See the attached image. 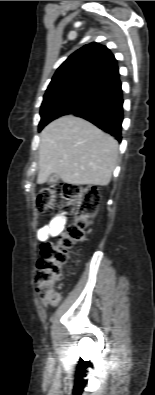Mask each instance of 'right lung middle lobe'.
Returning a JSON list of instances; mask_svg holds the SVG:
<instances>
[{"label": "right lung middle lobe", "mask_w": 155, "mask_h": 395, "mask_svg": "<svg viewBox=\"0 0 155 395\" xmlns=\"http://www.w3.org/2000/svg\"><path fill=\"white\" fill-rule=\"evenodd\" d=\"M102 87L86 82H69L48 87L41 105L39 130L52 120L69 114L86 103Z\"/></svg>", "instance_id": "right-lung-middle-lobe-1"}]
</instances>
